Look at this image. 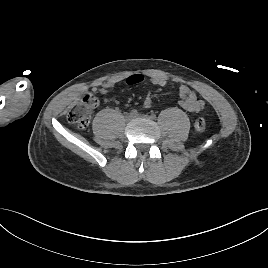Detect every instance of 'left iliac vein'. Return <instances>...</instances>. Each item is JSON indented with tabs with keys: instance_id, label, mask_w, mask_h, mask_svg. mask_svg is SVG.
Returning a JSON list of instances; mask_svg holds the SVG:
<instances>
[{
	"instance_id": "1",
	"label": "left iliac vein",
	"mask_w": 268,
	"mask_h": 268,
	"mask_svg": "<svg viewBox=\"0 0 268 268\" xmlns=\"http://www.w3.org/2000/svg\"><path fill=\"white\" fill-rule=\"evenodd\" d=\"M136 117L143 118V119H149V118H151L148 115H144V114H138Z\"/></svg>"
}]
</instances>
